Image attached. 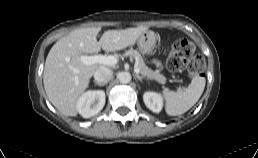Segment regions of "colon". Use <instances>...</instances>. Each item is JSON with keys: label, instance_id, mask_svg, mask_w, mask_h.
Segmentation results:
<instances>
[{"label": "colon", "instance_id": "obj_1", "mask_svg": "<svg viewBox=\"0 0 258 158\" xmlns=\"http://www.w3.org/2000/svg\"><path fill=\"white\" fill-rule=\"evenodd\" d=\"M167 68L173 72L185 69L191 76H197L203 73L205 60L195 53L192 42L180 39L174 43L168 55Z\"/></svg>", "mask_w": 258, "mask_h": 158}]
</instances>
